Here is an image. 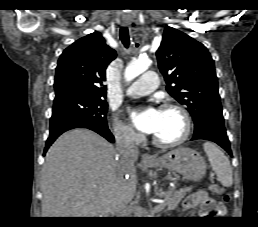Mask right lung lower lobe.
I'll return each mask as SVG.
<instances>
[{"instance_id": "98d812e1", "label": "right lung lower lobe", "mask_w": 258, "mask_h": 227, "mask_svg": "<svg viewBox=\"0 0 258 227\" xmlns=\"http://www.w3.org/2000/svg\"><path fill=\"white\" fill-rule=\"evenodd\" d=\"M84 127L93 130L106 138L110 142H114V136L108 129V127H96L89 125L79 119L68 117V116H56L51 117L50 120V134L46 142L44 154L50 147V145L56 140V138L67 130Z\"/></svg>"}]
</instances>
